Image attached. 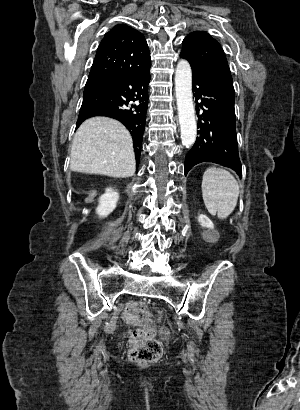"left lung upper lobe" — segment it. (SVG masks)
Returning <instances> with one entry per match:
<instances>
[{
    "label": "left lung upper lobe",
    "mask_w": 300,
    "mask_h": 410,
    "mask_svg": "<svg viewBox=\"0 0 300 410\" xmlns=\"http://www.w3.org/2000/svg\"><path fill=\"white\" fill-rule=\"evenodd\" d=\"M180 55L189 61L192 70L223 82L235 93L225 53L208 33L196 31L187 35Z\"/></svg>",
    "instance_id": "obj_1"
}]
</instances>
